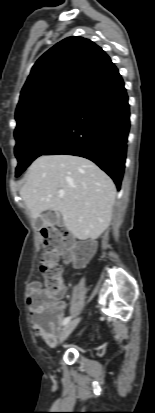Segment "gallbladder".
<instances>
[{"mask_svg": "<svg viewBox=\"0 0 155 413\" xmlns=\"http://www.w3.org/2000/svg\"><path fill=\"white\" fill-rule=\"evenodd\" d=\"M61 222H62V220H61V218L59 217V218L57 219V224H61ZM37 225H38V227H42V226L45 225V223H44L42 220H38V221H37Z\"/></svg>", "mask_w": 155, "mask_h": 413, "instance_id": "1", "label": "gallbladder"}]
</instances>
